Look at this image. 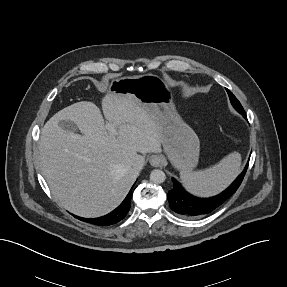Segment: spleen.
Returning a JSON list of instances; mask_svg holds the SVG:
<instances>
[{
	"instance_id": "spleen-1",
	"label": "spleen",
	"mask_w": 287,
	"mask_h": 287,
	"mask_svg": "<svg viewBox=\"0 0 287 287\" xmlns=\"http://www.w3.org/2000/svg\"><path fill=\"white\" fill-rule=\"evenodd\" d=\"M241 155L232 152L218 164L200 171H181L180 177L184 187L200 197L216 195L227 188L239 175Z\"/></svg>"
}]
</instances>
